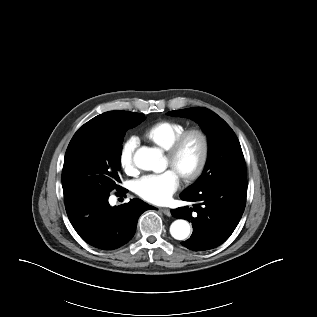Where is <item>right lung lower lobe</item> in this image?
Listing matches in <instances>:
<instances>
[{
	"label": "right lung lower lobe",
	"mask_w": 317,
	"mask_h": 317,
	"mask_svg": "<svg viewBox=\"0 0 317 317\" xmlns=\"http://www.w3.org/2000/svg\"><path fill=\"white\" fill-rule=\"evenodd\" d=\"M108 197L84 206L67 205L66 212L74 229L86 243L99 249L113 250L132 239L139 216L154 207L136 198L111 207Z\"/></svg>",
	"instance_id": "98d812e1"
}]
</instances>
